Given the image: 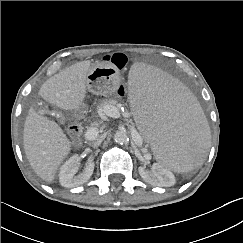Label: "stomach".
Listing matches in <instances>:
<instances>
[{"mask_svg": "<svg viewBox=\"0 0 243 243\" xmlns=\"http://www.w3.org/2000/svg\"><path fill=\"white\" fill-rule=\"evenodd\" d=\"M120 82V73L110 62L94 63L87 74V90L95 95L113 94Z\"/></svg>", "mask_w": 243, "mask_h": 243, "instance_id": "0dacf381", "label": "stomach"}]
</instances>
